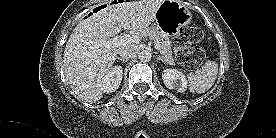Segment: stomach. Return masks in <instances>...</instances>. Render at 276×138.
<instances>
[{
	"label": "stomach",
	"instance_id": "0dacf381",
	"mask_svg": "<svg viewBox=\"0 0 276 138\" xmlns=\"http://www.w3.org/2000/svg\"><path fill=\"white\" fill-rule=\"evenodd\" d=\"M192 20L191 12L180 0H163L155 12L153 27L165 36L180 35Z\"/></svg>",
	"mask_w": 276,
	"mask_h": 138
}]
</instances>
